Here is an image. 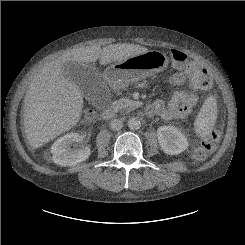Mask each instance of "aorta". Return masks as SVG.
Wrapping results in <instances>:
<instances>
[{
	"label": "aorta",
	"instance_id": "762f6f07",
	"mask_svg": "<svg viewBox=\"0 0 245 245\" xmlns=\"http://www.w3.org/2000/svg\"><path fill=\"white\" fill-rule=\"evenodd\" d=\"M127 125L131 130H137L140 128V121L137 118L132 117L128 120Z\"/></svg>",
	"mask_w": 245,
	"mask_h": 245
}]
</instances>
